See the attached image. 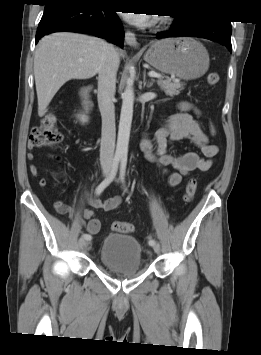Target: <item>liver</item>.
<instances>
[{
	"label": "liver",
	"mask_w": 261,
	"mask_h": 355,
	"mask_svg": "<svg viewBox=\"0 0 261 355\" xmlns=\"http://www.w3.org/2000/svg\"><path fill=\"white\" fill-rule=\"evenodd\" d=\"M108 46L100 38L67 32L54 33L39 41L34 57L39 117L45 115L54 95L67 81L89 79L99 73Z\"/></svg>",
	"instance_id": "6515ba94"
}]
</instances>
